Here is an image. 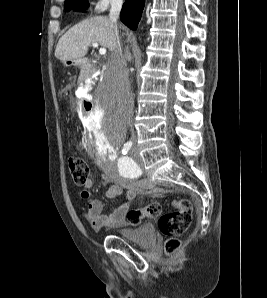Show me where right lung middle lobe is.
<instances>
[{
  "label": "right lung middle lobe",
  "instance_id": "right-lung-middle-lobe-1",
  "mask_svg": "<svg viewBox=\"0 0 267 298\" xmlns=\"http://www.w3.org/2000/svg\"><path fill=\"white\" fill-rule=\"evenodd\" d=\"M87 6V0H66L65 2V8L67 11L71 9L84 11Z\"/></svg>",
  "mask_w": 267,
  "mask_h": 298
}]
</instances>
